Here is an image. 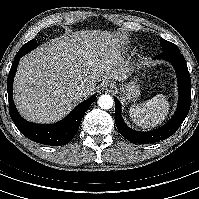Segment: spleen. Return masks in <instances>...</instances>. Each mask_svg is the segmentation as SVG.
Returning <instances> with one entry per match:
<instances>
[{
	"instance_id": "spleen-1",
	"label": "spleen",
	"mask_w": 199,
	"mask_h": 199,
	"mask_svg": "<svg viewBox=\"0 0 199 199\" xmlns=\"http://www.w3.org/2000/svg\"><path fill=\"white\" fill-rule=\"evenodd\" d=\"M168 113L169 103L163 94H159L129 110L130 118L143 129L156 127L166 118Z\"/></svg>"
}]
</instances>
